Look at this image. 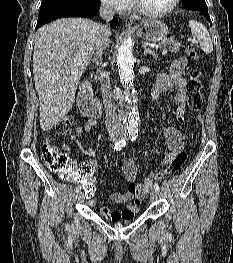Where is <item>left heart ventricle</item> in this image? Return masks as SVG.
Here are the masks:
<instances>
[{
  "label": "left heart ventricle",
  "instance_id": "1",
  "mask_svg": "<svg viewBox=\"0 0 233 263\" xmlns=\"http://www.w3.org/2000/svg\"><path fill=\"white\" fill-rule=\"evenodd\" d=\"M138 3L148 11H162L168 8L172 0H137Z\"/></svg>",
  "mask_w": 233,
  "mask_h": 263
}]
</instances>
